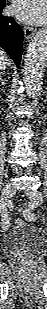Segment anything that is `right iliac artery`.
Instances as JSON below:
<instances>
[{
  "label": "right iliac artery",
  "instance_id": "right-iliac-artery-1",
  "mask_svg": "<svg viewBox=\"0 0 47 309\" xmlns=\"http://www.w3.org/2000/svg\"><path fill=\"white\" fill-rule=\"evenodd\" d=\"M0 213L2 216V225H5L9 221V219H8L6 205L4 203L0 204Z\"/></svg>",
  "mask_w": 47,
  "mask_h": 309
}]
</instances>
